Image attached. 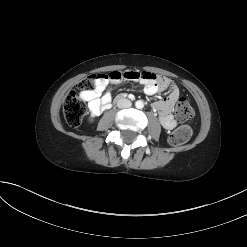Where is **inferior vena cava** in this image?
Instances as JSON below:
<instances>
[{
	"label": "inferior vena cava",
	"instance_id": "602c4592",
	"mask_svg": "<svg viewBox=\"0 0 247 247\" xmlns=\"http://www.w3.org/2000/svg\"><path fill=\"white\" fill-rule=\"evenodd\" d=\"M131 105H132L131 101L126 98H122L117 102V106L119 108H129L131 107Z\"/></svg>",
	"mask_w": 247,
	"mask_h": 247
}]
</instances>
